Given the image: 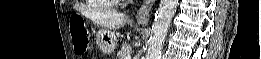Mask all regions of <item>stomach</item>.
<instances>
[{
	"label": "stomach",
	"instance_id": "stomach-1",
	"mask_svg": "<svg viewBox=\"0 0 261 59\" xmlns=\"http://www.w3.org/2000/svg\"><path fill=\"white\" fill-rule=\"evenodd\" d=\"M96 44L103 54H112L117 47V38L111 30L101 29L96 33Z\"/></svg>",
	"mask_w": 261,
	"mask_h": 59
}]
</instances>
